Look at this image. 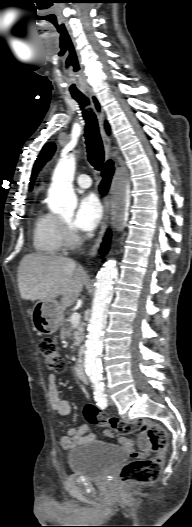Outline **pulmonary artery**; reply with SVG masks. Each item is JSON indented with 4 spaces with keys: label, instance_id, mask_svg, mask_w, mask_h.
Here are the masks:
<instances>
[{
    "label": "pulmonary artery",
    "instance_id": "e3ab8cb5",
    "mask_svg": "<svg viewBox=\"0 0 192 527\" xmlns=\"http://www.w3.org/2000/svg\"><path fill=\"white\" fill-rule=\"evenodd\" d=\"M76 181L81 188H89L92 185V180L87 174L78 175Z\"/></svg>",
    "mask_w": 192,
    "mask_h": 527
}]
</instances>
